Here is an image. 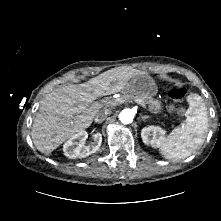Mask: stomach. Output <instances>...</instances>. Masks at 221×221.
<instances>
[{
    "instance_id": "1",
    "label": "stomach",
    "mask_w": 221,
    "mask_h": 221,
    "mask_svg": "<svg viewBox=\"0 0 221 221\" xmlns=\"http://www.w3.org/2000/svg\"><path fill=\"white\" fill-rule=\"evenodd\" d=\"M131 93L141 95L144 98H151L156 93L155 84L146 76L134 78L126 87Z\"/></svg>"
}]
</instances>
